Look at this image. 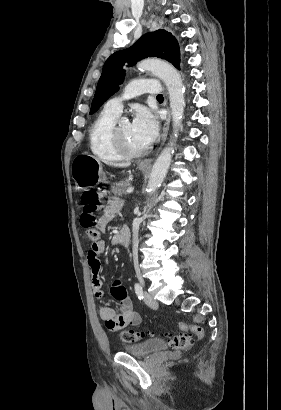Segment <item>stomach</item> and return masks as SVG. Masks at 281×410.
Returning a JSON list of instances; mask_svg holds the SVG:
<instances>
[{
  "label": "stomach",
  "instance_id": "1",
  "mask_svg": "<svg viewBox=\"0 0 281 410\" xmlns=\"http://www.w3.org/2000/svg\"><path fill=\"white\" fill-rule=\"evenodd\" d=\"M139 169L143 172L146 170L142 166H139ZM71 175L77 188L81 190L93 188L100 182H106L102 163L91 155L77 156L71 165Z\"/></svg>",
  "mask_w": 281,
  "mask_h": 410
}]
</instances>
